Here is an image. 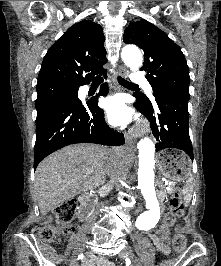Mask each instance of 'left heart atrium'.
Instances as JSON below:
<instances>
[{
    "label": "left heart atrium",
    "mask_w": 221,
    "mask_h": 266,
    "mask_svg": "<svg viewBox=\"0 0 221 266\" xmlns=\"http://www.w3.org/2000/svg\"><path fill=\"white\" fill-rule=\"evenodd\" d=\"M109 121L113 124L128 123L132 119V112L125 106L121 98L108 99L104 105Z\"/></svg>",
    "instance_id": "1"
}]
</instances>
